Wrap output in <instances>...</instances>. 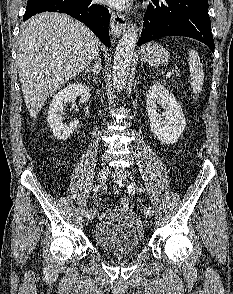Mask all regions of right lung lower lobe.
Instances as JSON below:
<instances>
[{"label": "right lung lower lobe", "instance_id": "obj_1", "mask_svg": "<svg viewBox=\"0 0 233 294\" xmlns=\"http://www.w3.org/2000/svg\"><path fill=\"white\" fill-rule=\"evenodd\" d=\"M66 13L88 26L107 47L109 39L110 15L108 9L92 3V0H36L27 4L23 20L41 12Z\"/></svg>", "mask_w": 233, "mask_h": 294}]
</instances>
